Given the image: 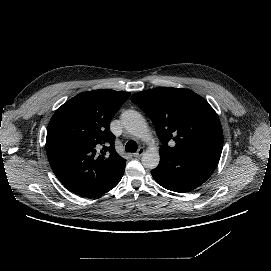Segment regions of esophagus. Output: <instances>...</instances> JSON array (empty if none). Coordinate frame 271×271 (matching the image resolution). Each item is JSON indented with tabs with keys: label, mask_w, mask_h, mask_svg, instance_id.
Segmentation results:
<instances>
[{
	"label": "esophagus",
	"mask_w": 271,
	"mask_h": 271,
	"mask_svg": "<svg viewBox=\"0 0 271 271\" xmlns=\"http://www.w3.org/2000/svg\"><path fill=\"white\" fill-rule=\"evenodd\" d=\"M145 149L143 147H140L137 152L133 154L134 157L140 158L144 154Z\"/></svg>",
	"instance_id": "1"
}]
</instances>
